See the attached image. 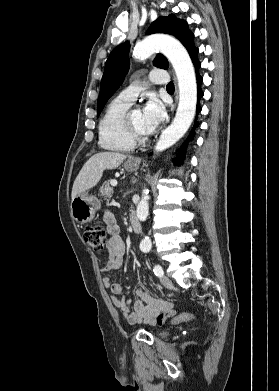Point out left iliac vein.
<instances>
[{
    "label": "left iliac vein",
    "mask_w": 279,
    "mask_h": 391,
    "mask_svg": "<svg viewBox=\"0 0 279 391\" xmlns=\"http://www.w3.org/2000/svg\"><path fill=\"white\" fill-rule=\"evenodd\" d=\"M161 283H162L163 286H165L167 288L172 286V281L167 276H162Z\"/></svg>",
    "instance_id": "left-iliac-vein-1"
}]
</instances>
